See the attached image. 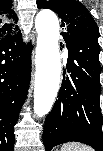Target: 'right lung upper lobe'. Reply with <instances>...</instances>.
<instances>
[{"instance_id":"cb5924a9","label":"right lung upper lobe","mask_w":103,"mask_h":151,"mask_svg":"<svg viewBox=\"0 0 103 151\" xmlns=\"http://www.w3.org/2000/svg\"><path fill=\"white\" fill-rule=\"evenodd\" d=\"M12 6L11 0H0V39L11 37L20 32L15 26L18 19Z\"/></svg>"}]
</instances>
